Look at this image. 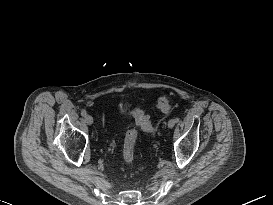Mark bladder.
<instances>
[{
  "label": "bladder",
  "mask_w": 273,
  "mask_h": 205,
  "mask_svg": "<svg viewBox=\"0 0 273 205\" xmlns=\"http://www.w3.org/2000/svg\"><path fill=\"white\" fill-rule=\"evenodd\" d=\"M123 110H126V107H123Z\"/></svg>",
  "instance_id": "obj_1"
}]
</instances>
